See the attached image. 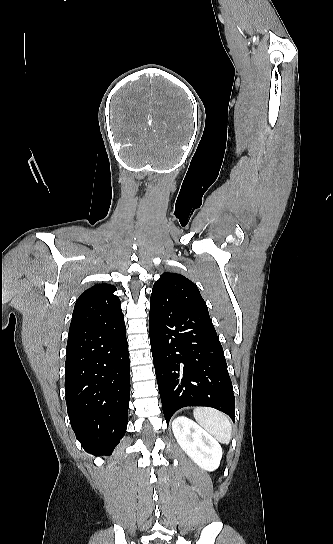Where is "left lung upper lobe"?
Segmentation results:
<instances>
[{
	"label": "left lung upper lobe",
	"instance_id": "1",
	"mask_svg": "<svg viewBox=\"0 0 333 544\" xmlns=\"http://www.w3.org/2000/svg\"><path fill=\"white\" fill-rule=\"evenodd\" d=\"M178 304L208 313L197 286L181 274L164 272L154 283L150 302Z\"/></svg>",
	"mask_w": 333,
	"mask_h": 544
}]
</instances>
